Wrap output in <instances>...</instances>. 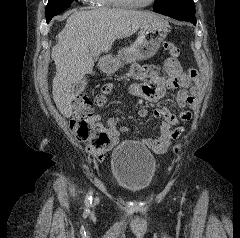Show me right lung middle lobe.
Instances as JSON below:
<instances>
[{
  "label": "right lung middle lobe",
  "mask_w": 240,
  "mask_h": 238,
  "mask_svg": "<svg viewBox=\"0 0 240 238\" xmlns=\"http://www.w3.org/2000/svg\"><path fill=\"white\" fill-rule=\"evenodd\" d=\"M73 1L74 0H48L46 6L47 23H49L54 16L66 10Z\"/></svg>",
  "instance_id": "1"
}]
</instances>
